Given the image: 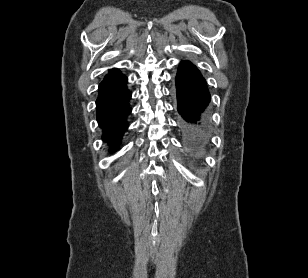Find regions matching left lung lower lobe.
Instances as JSON below:
<instances>
[{"label": "left lung lower lobe", "instance_id": "1", "mask_svg": "<svg viewBox=\"0 0 308 278\" xmlns=\"http://www.w3.org/2000/svg\"><path fill=\"white\" fill-rule=\"evenodd\" d=\"M177 109L182 116L183 131L189 143L197 145L205 139V110L210 102L206 81L189 61H182L176 75Z\"/></svg>", "mask_w": 308, "mask_h": 278}]
</instances>
